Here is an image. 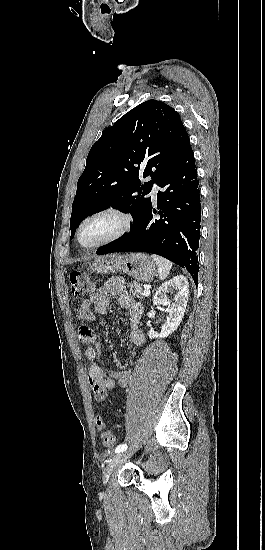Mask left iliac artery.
<instances>
[{
	"mask_svg": "<svg viewBox=\"0 0 265 550\" xmlns=\"http://www.w3.org/2000/svg\"><path fill=\"white\" fill-rule=\"evenodd\" d=\"M127 449V445L126 444H121V445H118L115 449V453H119V452H122V451H125Z\"/></svg>",
	"mask_w": 265,
	"mask_h": 550,
	"instance_id": "left-iliac-artery-1",
	"label": "left iliac artery"
}]
</instances>
